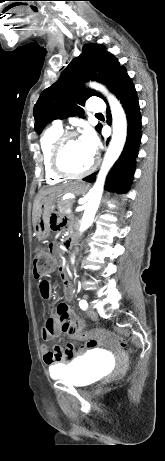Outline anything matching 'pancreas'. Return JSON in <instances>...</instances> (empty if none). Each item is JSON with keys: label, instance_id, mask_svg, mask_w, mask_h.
Wrapping results in <instances>:
<instances>
[{"label": "pancreas", "instance_id": "obj_1", "mask_svg": "<svg viewBox=\"0 0 165 461\" xmlns=\"http://www.w3.org/2000/svg\"><path fill=\"white\" fill-rule=\"evenodd\" d=\"M74 203L73 200H61L59 203H58V206H57V209H58V212L60 215H64L65 214V211L68 209V208H71L72 207V204Z\"/></svg>", "mask_w": 165, "mask_h": 461}]
</instances>
